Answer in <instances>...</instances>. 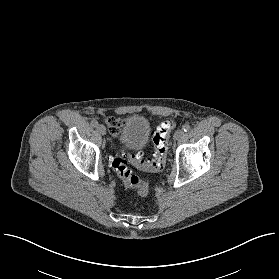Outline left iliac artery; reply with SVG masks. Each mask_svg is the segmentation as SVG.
Here are the masks:
<instances>
[{
	"mask_svg": "<svg viewBox=\"0 0 279 279\" xmlns=\"http://www.w3.org/2000/svg\"><path fill=\"white\" fill-rule=\"evenodd\" d=\"M190 129H191V127H190L189 124H184V125H183V130H184L185 132L190 131Z\"/></svg>",
	"mask_w": 279,
	"mask_h": 279,
	"instance_id": "left-iliac-artery-1",
	"label": "left iliac artery"
}]
</instances>
